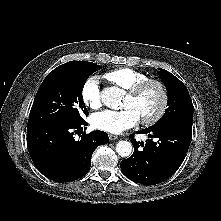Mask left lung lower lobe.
<instances>
[{
    "label": "left lung lower lobe",
    "instance_id": "0a47b994",
    "mask_svg": "<svg viewBox=\"0 0 221 221\" xmlns=\"http://www.w3.org/2000/svg\"><path fill=\"white\" fill-rule=\"evenodd\" d=\"M137 133L148 134L150 139L137 142L131 135L134 152L120 167L127 178L146 185L171 176L183 162L192 139V128L178 125L149 127Z\"/></svg>",
    "mask_w": 221,
    "mask_h": 221
}]
</instances>
